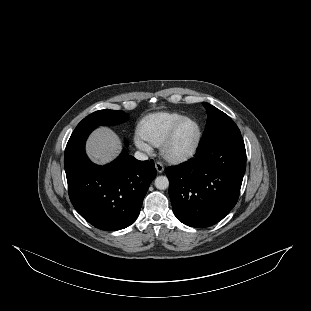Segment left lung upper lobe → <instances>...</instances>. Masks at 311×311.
<instances>
[{"label": "left lung upper lobe", "mask_w": 311, "mask_h": 311, "mask_svg": "<svg viewBox=\"0 0 311 311\" xmlns=\"http://www.w3.org/2000/svg\"><path fill=\"white\" fill-rule=\"evenodd\" d=\"M203 105L207 110L208 119L199 146L226 134L240 133L234 121L224 112L206 102H203Z\"/></svg>", "instance_id": "1"}]
</instances>
